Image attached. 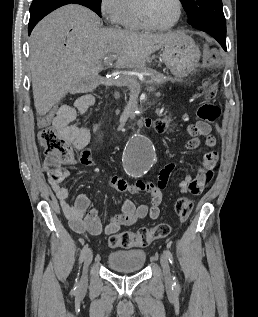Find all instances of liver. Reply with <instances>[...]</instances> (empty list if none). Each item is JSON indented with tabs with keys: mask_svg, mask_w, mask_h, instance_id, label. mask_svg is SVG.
Segmentation results:
<instances>
[{
	"mask_svg": "<svg viewBox=\"0 0 258 317\" xmlns=\"http://www.w3.org/2000/svg\"><path fill=\"white\" fill-rule=\"evenodd\" d=\"M100 18L81 4H66L42 18L30 36V68L37 114H46L67 92L102 82L99 58L117 54L115 68H145L146 58L185 36L100 28Z\"/></svg>",
	"mask_w": 258,
	"mask_h": 317,
	"instance_id": "obj_1",
	"label": "liver"
}]
</instances>
